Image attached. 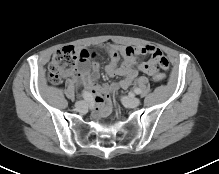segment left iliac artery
<instances>
[{
	"label": "left iliac artery",
	"mask_w": 219,
	"mask_h": 174,
	"mask_svg": "<svg viewBox=\"0 0 219 174\" xmlns=\"http://www.w3.org/2000/svg\"><path fill=\"white\" fill-rule=\"evenodd\" d=\"M134 92H135L136 94H140V93H141V90H140L139 88H135Z\"/></svg>",
	"instance_id": "44dca946"
}]
</instances>
